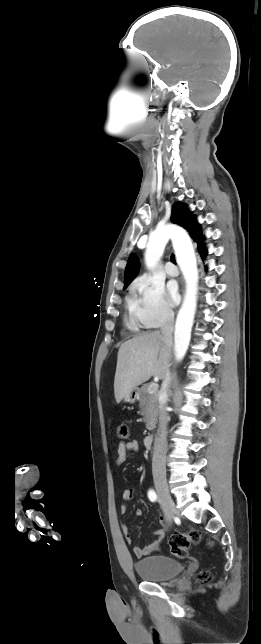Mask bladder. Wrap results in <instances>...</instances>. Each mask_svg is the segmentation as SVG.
Returning a JSON list of instances; mask_svg holds the SVG:
<instances>
[{
	"label": "bladder",
	"mask_w": 261,
	"mask_h": 644,
	"mask_svg": "<svg viewBox=\"0 0 261 644\" xmlns=\"http://www.w3.org/2000/svg\"><path fill=\"white\" fill-rule=\"evenodd\" d=\"M183 569L182 564L171 557L164 555H151L134 563V570L138 577L148 582H161L179 575Z\"/></svg>",
	"instance_id": "bladder-1"
}]
</instances>
